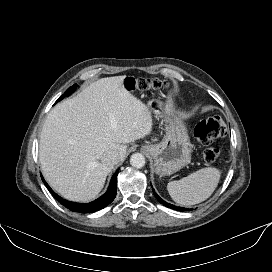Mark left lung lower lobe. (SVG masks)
<instances>
[{
  "mask_svg": "<svg viewBox=\"0 0 272 272\" xmlns=\"http://www.w3.org/2000/svg\"><path fill=\"white\" fill-rule=\"evenodd\" d=\"M153 193L155 195V197L157 198V200L162 203L164 206L168 207V208H171V209H174V210H177V211H188L189 209L187 208H183V207H177L175 205H172L170 203H167L165 202L164 200H162L156 193L155 191L153 190Z\"/></svg>",
  "mask_w": 272,
  "mask_h": 272,
  "instance_id": "0a47b994",
  "label": "left lung lower lobe"
}]
</instances>
